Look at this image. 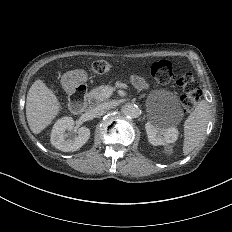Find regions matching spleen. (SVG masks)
<instances>
[{
    "mask_svg": "<svg viewBox=\"0 0 232 232\" xmlns=\"http://www.w3.org/2000/svg\"><path fill=\"white\" fill-rule=\"evenodd\" d=\"M210 118L208 102L202 100L184 123L183 154L188 155L200 143Z\"/></svg>",
    "mask_w": 232,
    "mask_h": 232,
    "instance_id": "3e777b00",
    "label": "spleen"
}]
</instances>
